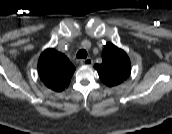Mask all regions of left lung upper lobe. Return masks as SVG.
<instances>
[{
	"mask_svg": "<svg viewBox=\"0 0 172 134\" xmlns=\"http://www.w3.org/2000/svg\"><path fill=\"white\" fill-rule=\"evenodd\" d=\"M101 64H96L101 81L107 86H116L126 80L131 73L128 55L112 43H108L102 52Z\"/></svg>",
	"mask_w": 172,
	"mask_h": 134,
	"instance_id": "1",
	"label": "left lung upper lobe"
}]
</instances>
